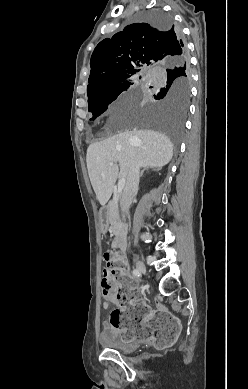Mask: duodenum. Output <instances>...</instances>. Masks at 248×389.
<instances>
[{"mask_svg":"<svg viewBox=\"0 0 248 389\" xmlns=\"http://www.w3.org/2000/svg\"><path fill=\"white\" fill-rule=\"evenodd\" d=\"M117 248L121 251L124 252L126 250V240L124 234H120L118 239H117Z\"/></svg>","mask_w":248,"mask_h":389,"instance_id":"obj_1","label":"duodenum"}]
</instances>
